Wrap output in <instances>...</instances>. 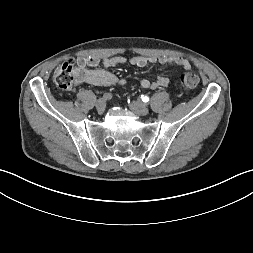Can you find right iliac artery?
<instances>
[{
  "instance_id": "82829eb1",
  "label": "right iliac artery",
  "mask_w": 253,
  "mask_h": 253,
  "mask_svg": "<svg viewBox=\"0 0 253 253\" xmlns=\"http://www.w3.org/2000/svg\"><path fill=\"white\" fill-rule=\"evenodd\" d=\"M112 97L113 96H112L111 93H104L102 99H104V100H110V99H112Z\"/></svg>"
}]
</instances>
